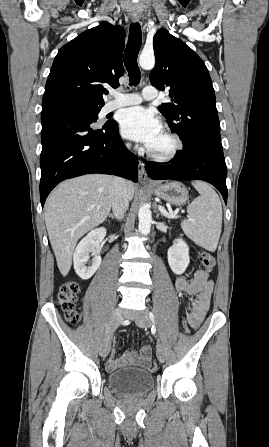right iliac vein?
<instances>
[{"label":"right iliac vein","instance_id":"obj_1","mask_svg":"<svg viewBox=\"0 0 269 447\" xmlns=\"http://www.w3.org/2000/svg\"><path fill=\"white\" fill-rule=\"evenodd\" d=\"M121 321L122 316L119 309L114 310L109 319V326H111L112 328L109 330L107 335L103 338V340L100 343L99 353L102 358H105L109 354L111 347L112 331Z\"/></svg>","mask_w":269,"mask_h":447}]
</instances>
